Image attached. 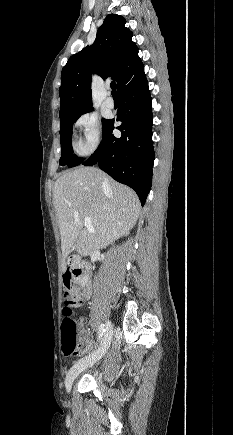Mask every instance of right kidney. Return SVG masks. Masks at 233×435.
<instances>
[{
    "instance_id": "obj_1",
    "label": "right kidney",
    "mask_w": 233,
    "mask_h": 435,
    "mask_svg": "<svg viewBox=\"0 0 233 435\" xmlns=\"http://www.w3.org/2000/svg\"><path fill=\"white\" fill-rule=\"evenodd\" d=\"M88 277L86 276L83 280H81L82 286L87 284Z\"/></svg>"
}]
</instances>
